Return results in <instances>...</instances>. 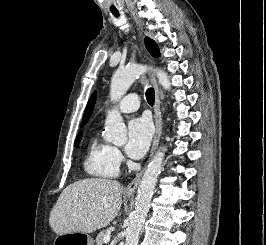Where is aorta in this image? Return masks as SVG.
Instances as JSON below:
<instances>
[{"label":"aorta","mask_w":266,"mask_h":245,"mask_svg":"<svg viewBox=\"0 0 266 245\" xmlns=\"http://www.w3.org/2000/svg\"><path fill=\"white\" fill-rule=\"evenodd\" d=\"M145 72L141 64H130L122 70H116L112 76L110 86L111 100H119L123 94H126L132 82L139 74ZM159 84L164 90H171V80L162 68H154ZM105 141H111L113 145H126L127 131L123 123V116L119 110H110L105 120ZM164 147H160L155 153L151 163H149L138 187L135 209L130 217L129 227L126 229L125 245H138L141 229L145 223V217L149 211L151 197L156 187L157 179L161 173V167L164 159Z\"/></svg>","instance_id":"762f6f07"}]
</instances>
